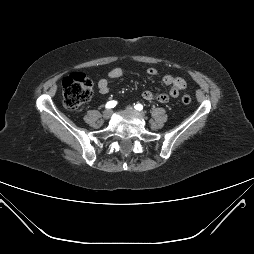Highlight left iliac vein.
<instances>
[{"instance_id":"left-iliac-vein-1","label":"left iliac vein","mask_w":254,"mask_h":254,"mask_svg":"<svg viewBox=\"0 0 254 254\" xmlns=\"http://www.w3.org/2000/svg\"><path fill=\"white\" fill-rule=\"evenodd\" d=\"M126 110L135 113V114H136L137 116H139L140 118H144V117H145V115H144L143 112H140V111L135 110L132 106H127V107H126Z\"/></svg>"}]
</instances>
